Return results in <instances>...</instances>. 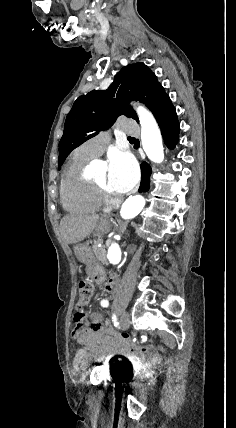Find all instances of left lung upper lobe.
I'll list each match as a JSON object with an SVG mask.
<instances>
[{"label": "left lung upper lobe", "mask_w": 236, "mask_h": 428, "mask_svg": "<svg viewBox=\"0 0 236 428\" xmlns=\"http://www.w3.org/2000/svg\"><path fill=\"white\" fill-rule=\"evenodd\" d=\"M130 100L143 102L154 116L171 103L155 74L144 63L123 67L107 90H93L74 102L59 142L58 168L73 149L110 127L118 116L125 115L139 122L128 105Z\"/></svg>", "instance_id": "5c2ea615"}]
</instances>
